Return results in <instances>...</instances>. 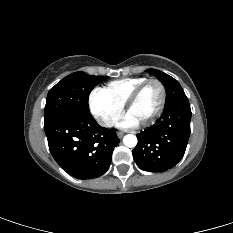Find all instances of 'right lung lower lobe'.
Masks as SVG:
<instances>
[{"instance_id": "1", "label": "right lung lower lobe", "mask_w": 233, "mask_h": 233, "mask_svg": "<svg viewBox=\"0 0 233 233\" xmlns=\"http://www.w3.org/2000/svg\"><path fill=\"white\" fill-rule=\"evenodd\" d=\"M44 128L56 162L80 179L103 175L120 141L113 130L98 125L90 112L61 116L45 123Z\"/></svg>"}]
</instances>
